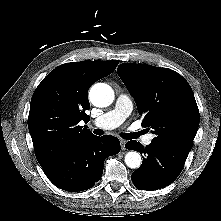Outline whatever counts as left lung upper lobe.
Here are the masks:
<instances>
[{"label":"left lung upper lobe","instance_id":"5c2ea615","mask_svg":"<svg viewBox=\"0 0 221 221\" xmlns=\"http://www.w3.org/2000/svg\"><path fill=\"white\" fill-rule=\"evenodd\" d=\"M117 73L135 99L152 143L185 159L199 126V110L188 82L177 72L147 64L123 63Z\"/></svg>","mask_w":221,"mask_h":221}]
</instances>
